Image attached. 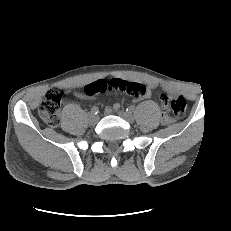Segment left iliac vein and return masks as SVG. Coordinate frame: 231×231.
Returning a JSON list of instances; mask_svg holds the SVG:
<instances>
[{
	"mask_svg": "<svg viewBox=\"0 0 231 231\" xmlns=\"http://www.w3.org/2000/svg\"><path fill=\"white\" fill-rule=\"evenodd\" d=\"M118 115L120 117H122L123 119H125L129 123H133L134 122L133 115L131 113L127 112V111H119Z\"/></svg>",
	"mask_w": 231,
	"mask_h": 231,
	"instance_id": "obj_1",
	"label": "left iliac vein"
}]
</instances>
